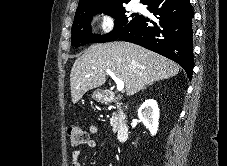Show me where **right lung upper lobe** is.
I'll list each match as a JSON object with an SVG mask.
<instances>
[{
	"label": "right lung upper lobe",
	"instance_id": "right-lung-upper-lobe-1",
	"mask_svg": "<svg viewBox=\"0 0 227 166\" xmlns=\"http://www.w3.org/2000/svg\"><path fill=\"white\" fill-rule=\"evenodd\" d=\"M130 1L131 0H79V5L76 12L123 6ZM147 1L148 0H140V2L143 4Z\"/></svg>",
	"mask_w": 227,
	"mask_h": 166
}]
</instances>
